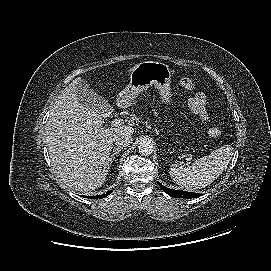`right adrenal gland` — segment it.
<instances>
[{
    "label": "right adrenal gland",
    "instance_id": "obj_1",
    "mask_svg": "<svg viewBox=\"0 0 271 271\" xmlns=\"http://www.w3.org/2000/svg\"><path fill=\"white\" fill-rule=\"evenodd\" d=\"M123 149V147H114L113 148V150H112V153L110 154V156H109V163L110 164H112L113 163V161H114V159H115V156L117 155V154H119L120 152H121V150Z\"/></svg>",
    "mask_w": 271,
    "mask_h": 271
}]
</instances>
